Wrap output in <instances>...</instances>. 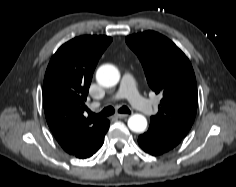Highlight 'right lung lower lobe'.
<instances>
[{
	"instance_id": "obj_1",
	"label": "right lung lower lobe",
	"mask_w": 236,
	"mask_h": 187,
	"mask_svg": "<svg viewBox=\"0 0 236 187\" xmlns=\"http://www.w3.org/2000/svg\"><path fill=\"white\" fill-rule=\"evenodd\" d=\"M109 122V121H108ZM110 122L108 123V128H109ZM104 142V141H103ZM102 146V145H101Z\"/></svg>"
}]
</instances>
